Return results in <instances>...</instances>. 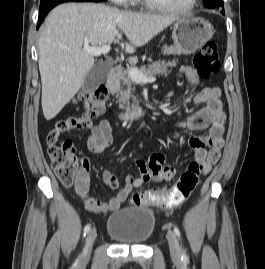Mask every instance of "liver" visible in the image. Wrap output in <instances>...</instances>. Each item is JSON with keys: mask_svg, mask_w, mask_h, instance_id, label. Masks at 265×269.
Wrapping results in <instances>:
<instances>
[{"mask_svg": "<svg viewBox=\"0 0 265 269\" xmlns=\"http://www.w3.org/2000/svg\"><path fill=\"white\" fill-rule=\"evenodd\" d=\"M177 17L152 15L95 3H64L47 16L38 40L42 109L53 119L79 91L94 67L84 46L100 47L126 37L125 52L134 53Z\"/></svg>", "mask_w": 265, "mask_h": 269, "instance_id": "obj_1", "label": "liver"}]
</instances>
